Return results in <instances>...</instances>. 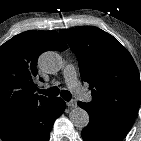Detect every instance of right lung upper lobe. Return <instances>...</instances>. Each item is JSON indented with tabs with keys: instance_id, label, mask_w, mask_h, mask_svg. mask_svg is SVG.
<instances>
[{
	"instance_id": "cb5924a9",
	"label": "right lung upper lobe",
	"mask_w": 141,
	"mask_h": 141,
	"mask_svg": "<svg viewBox=\"0 0 141 141\" xmlns=\"http://www.w3.org/2000/svg\"><path fill=\"white\" fill-rule=\"evenodd\" d=\"M66 49V42L57 32L34 30L18 34L0 46V125L14 114L52 99L35 93L37 59L44 51Z\"/></svg>"
}]
</instances>
